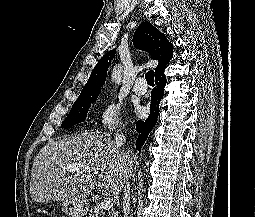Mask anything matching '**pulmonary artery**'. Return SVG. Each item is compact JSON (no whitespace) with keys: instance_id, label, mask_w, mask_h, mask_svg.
<instances>
[{"instance_id":"1","label":"pulmonary artery","mask_w":255,"mask_h":217,"mask_svg":"<svg viewBox=\"0 0 255 217\" xmlns=\"http://www.w3.org/2000/svg\"><path fill=\"white\" fill-rule=\"evenodd\" d=\"M144 78L143 77H138L135 81V84L133 86V91L137 95H144L147 92V87L143 86L142 84L144 83Z\"/></svg>"}]
</instances>
